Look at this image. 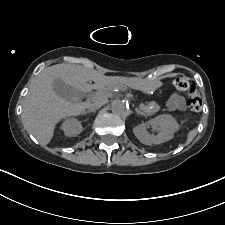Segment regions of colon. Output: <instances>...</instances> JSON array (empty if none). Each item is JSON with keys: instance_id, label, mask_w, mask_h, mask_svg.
Returning <instances> with one entry per match:
<instances>
[{"instance_id": "5ec220e1", "label": "colon", "mask_w": 225, "mask_h": 225, "mask_svg": "<svg viewBox=\"0 0 225 225\" xmlns=\"http://www.w3.org/2000/svg\"><path fill=\"white\" fill-rule=\"evenodd\" d=\"M173 86L180 92L188 91V105L193 112H199L202 109L203 100L195 86L191 85L187 78L178 76L173 80Z\"/></svg>"}]
</instances>
